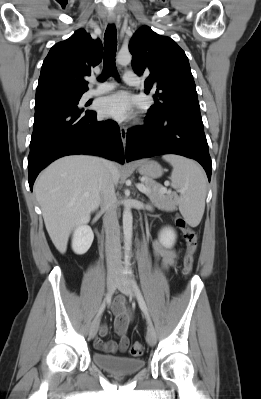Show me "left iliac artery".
I'll list each match as a JSON object with an SVG mask.
<instances>
[{
  "mask_svg": "<svg viewBox=\"0 0 261 399\" xmlns=\"http://www.w3.org/2000/svg\"><path fill=\"white\" fill-rule=\"evenodd\" d=\"M133 286H134V289H135V292H136V296H137V300H138L139 306H140L141 310L144 312V314H145L146 318L148 319V321H150V316H149V312H148V308L146 306L145 300H144L143 295H142V293H141V291H140V289H139V287H138V285L136 284L135 281H133Z\"/></svg>",
  "mask_w": 261,
  "mask_h": 399,
  "instance_id": "44dca946",
  "label": "left iliac artery"
}]
</instances>
